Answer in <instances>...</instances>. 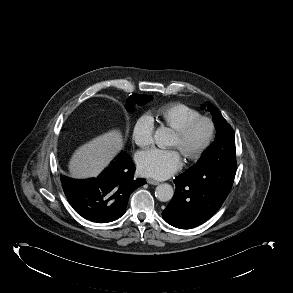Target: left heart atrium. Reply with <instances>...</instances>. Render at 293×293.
<instances>
[{"mask_svg":"<svg viewBox=\"0 0 293 293\" xmlns=\"http://www.w3.org/2000/svg\"><path fill=\"white\" fill-rule=\"evenodd\" d=\"M137 164L141 174L162 180L176 173L183 163L176 149H151L139 154Z\"/></svg>","mask_w":293,"mask_h":293,"instance_id":"left-heart-atrium-1","label":"left heart atrium"}]
</instances>
